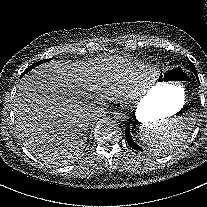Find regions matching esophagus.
<instances>
[{
  "mask_svg": "<svg viewBox=\"0 0 207 207\" xmlns=\"http://www.w3.org/2000/svg\"><path fill=\"white\" fill-rule=\"evenodd\" d=\"M114 105H115V107L118 108V109L121 108V107H124V105L122 104V102L119 101V100L116 101Z\"/></svg>",
  "mask_w": 207,
  "mask_h": 207,
  "instance_id": "esophagus-1",
  "label": "esophagus"
}]
</instances>
